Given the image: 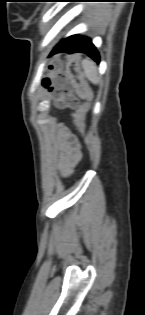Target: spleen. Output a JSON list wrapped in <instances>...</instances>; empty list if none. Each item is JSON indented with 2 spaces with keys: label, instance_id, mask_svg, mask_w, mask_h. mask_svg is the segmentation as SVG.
I'll list each match as a JSON object with an SVG mask.
<instances>
[{
  "label": "spleen",
  "instance_id": "obj_1",
  "mask_svg": "<svg viewBox=\"0 0 145 315\" xmlns=\"http://www.w3.org/2000/svg\"><path fill=\"white\" fill-rule=\"evenodd\" d=\"M84 74L86 78L93 84H97L99 82V77L97 73V68L94 61L90 59H83L81 61Z\"/></svg>",
  "mask_w": 145,
  "mask_h": 315
}]
</instances>
